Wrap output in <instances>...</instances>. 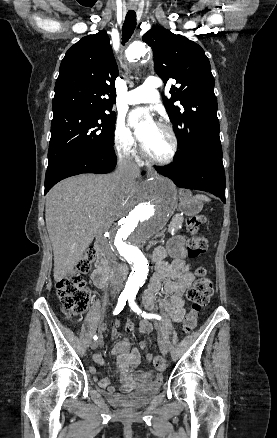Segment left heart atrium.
<instances>
[{
  "mask_svg": "<svg viewBox=\"0 0 277 438\" xmlns=\"http://www.w3.org/2000/svg\"><path fill=\"white\" fill-rule=\"evenodd\" d=\"M143 115H148L147 110H144V109H138V110H135V111H133V112L131 113V115H130V121H131V122H134L135 119L140 118V117L143 116ZM153 125H154L153 122L150 121V122L148 123V125H147L144 129L138 131V136H139V138H140V140H141L142 142H143L144 139H145L146 132H147V128H149V127H151V126H153Z\"/></svg>",
  "mask_w": 277,
  "mask_h": 438,
  "instance_id": "left-heart-atrium-1",
  "label": "left heart atrium"
}]
</instances>
